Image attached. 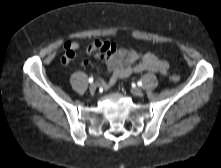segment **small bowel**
Here are the masks:
<instances>
[{"label": "small bowel", "mask_w": 221, "mask_h": 168, "mask_svg": "<svg viewBox=\"0 0 221 168\" xmlns=\"http://www.w3.org/2000/svg\"><path fill=\"white\" fill-rule=\"evenodd\" d=\"M80 44L77 41H69L64 45L65 54L62 62L67 64L75 58V51ZM87 52L105 62L110 72L108 79L97 80L99 86L104 89L112 87L119 79L129 77L134 73L144 71L157 72L166 75L169 69L168 63L153 53L138 52L132 48L118 47L113 42L94 41L87 46ZM84 66L89 64L87 59L82 60Z\"/></svg>", "instance_id": "c3829d8e"}]
</instances>
